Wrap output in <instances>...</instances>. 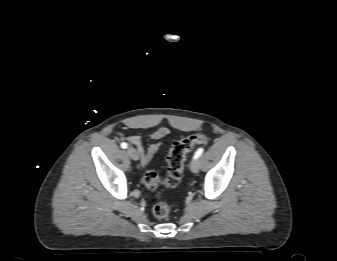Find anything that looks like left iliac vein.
Returning <instances> with one entry per match:
<instances>
[{
	"label": "left iliac vein",
	"instance_id": "4c4485c4",
	"mask_svg": "<svg viewBox=\"0 0 337 261\" xmlns=\"http://www.w3.org/2000/svg\"><path fill=\"white\" fill-rule=\"evenodd\" d=\"M190 169L193 173H197L199 171V162L197 160V158L193 159L190 163Z\"/></svg>",
	"mask_w": 337,
	"mask_h": 261
}]
</instances>
